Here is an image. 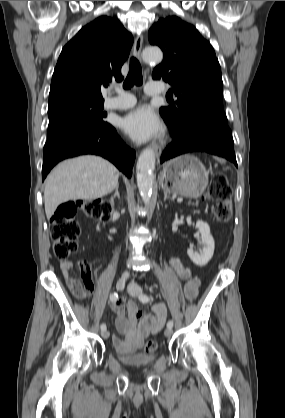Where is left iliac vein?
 <instances>
[{"mask_svg":"<svg viewBox=\"0 0 285 418\" xmlns=\"http://www.w3.org/2000/svg\"><path fill=\"white\" fill-rule=\"evenodd\" d=\"M127 291H128V293H129L131 296H133V297H138V296H140V295L142 294V289H141V287H140L138 284H136V283H130V284L127 286ZM172 333H173L172 328H167V329L165 330V332H164V335H165L166 337H170V336L172 335Z\"/></svg>","mask_w":285,"mask_h":418,"instance_id":"obj_1","label":"left iliac vein"}]
</instances>
